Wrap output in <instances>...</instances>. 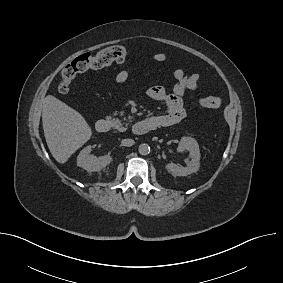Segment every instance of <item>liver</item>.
Returning a JSON list of instances; mask_svg holds the SVG:
<instances>
[{
  "label": "liver",
  "mask_w": 283,
  "mask_h": 283,
  "mask_svg": "<svg viewBox=\"0 0 283 283\" xmlns=\"http://www.w3.org/2000/svg\"><path fill=\"white\" fill-rule=\"evenodd\" d=\"M42 123L48 148L55 160L61 164L92 135V130L83 116L52 95L44 99Z\"/></svg>",
  "instance_id": "1"
}]
</instances>
